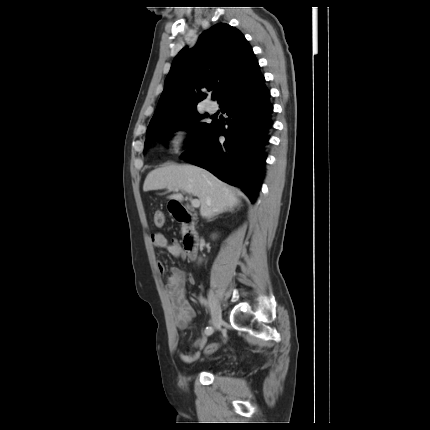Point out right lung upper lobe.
<instances>
[{"label": "right lung upper lobe", "mask_w": 430, "mask_h": 430, "mask_svg": "<svg viewBox=\"0 0 430 430\" xmlns=\"http://www.w3.org/2000/svg\"><path fill=\"white\" fill-rule=\"evenodd\" d=\"M261 75L244 35L229 24L218 23L201 34L194 48L186 47L174 58L148 129L196 109L206 91L213 90L212 98L223 103L234 87Z\"/></svg>", "instance_id": "obj_1"}]
</instances>
